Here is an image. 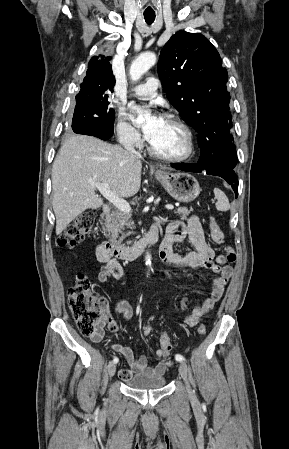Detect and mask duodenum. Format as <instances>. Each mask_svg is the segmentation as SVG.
Segmentation results:
<instances>
[{
  "label": "duodenum",
  "mask_w": 289,
  "mask_h": 449,
  "mask_svg": "<svg viewBox=\"0 0 289 449\" xmlns=\"http://www.w3.org/2000/svg\"><path fill=\"white\" fill-rule=\"evenodd\" d=\"M110 213L111 208L109 206H104L100 213V219L109 216ZM157 240L158 225L154 224L143 238L138 239L132 244L114 246L102 240L100 246L103 250L121 260H133L137 258L147 246L156 243Z\"/></svg>",
  "instance_id": "1"
}]
</instances>
